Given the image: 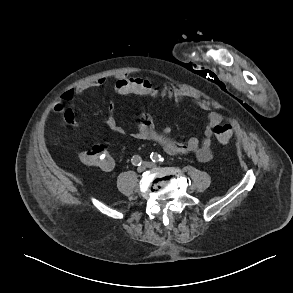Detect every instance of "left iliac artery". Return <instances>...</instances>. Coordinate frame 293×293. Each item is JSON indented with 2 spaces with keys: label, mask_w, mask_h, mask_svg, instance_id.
Masks as SVG:
<instances>
[{
  "label": "left iliac artery",
  "mask_w": 293,
  "mask_h": 293,
  "mask_svg": "<svg viewBox=\"0 0 293 293\" xmlns=\"http://www.w3.org/2000/svg\"><path fill=\"white\" fill-rule=\"evenodd\" d=\"M150 158L153 162L164 163L166 159L157 152H152Z\"/></svg>",
  "instance_id": "left-iliac-artery-1"
}]
</instances>
